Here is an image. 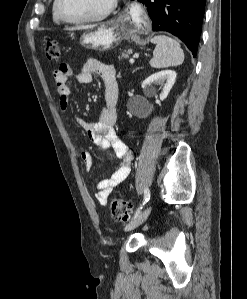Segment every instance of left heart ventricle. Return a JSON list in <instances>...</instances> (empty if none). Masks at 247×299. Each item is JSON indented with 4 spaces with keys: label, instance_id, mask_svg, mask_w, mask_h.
I'll list each match as a JSON object with an SVG mask.
<instances>
[{
    "label": "left heart ventricle",
    "instance_id": "b2bd125f",
    "mask_svg": "<svg viewBox=\"0 0 247 299\" xmlns=\"http://www.w3.org/2000/svg\"><path fill=\"white\" fill-rule=\"evenodd\" d=\"M111 0H61L62 13L72 19L91 17L101 13Z\"/></svg>",
    "mask_w": 247,
    "mask_h": 299
}]
</instances>
